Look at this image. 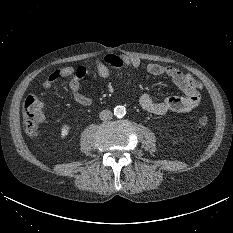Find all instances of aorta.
Here are the masks:
<instances>
[{
	"instance_id": "1",
	"label": "aorta",
	"mask_w": 233,
	"mask_h": 233,
	"mask_svg": "<svg viewBox=\"0 0 233 233\" xmlns=\"http://www.w3.org/2000/svg\"><path fill=\"white\" fill-rule=\"evenodd\" d=\"M126 108L124 106H116L114 108V115L118 118L125 116Z\"/></svg>"
}]
</instances>
